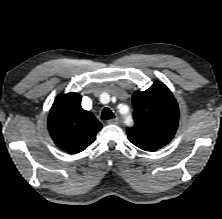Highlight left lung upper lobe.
I'll return each mask as SVG.
<instances>
[{"label":"left lung upper lobe","mask_w":222,"mask_h":219,"mask_svg":"<svg viewBox=\"0 0 222 219\" xmlns=\"http://www.w3.org/2000/svg\"><path fill=\"white\" fill-rule=\"evenodd\" d=\"M133 128H127L129 140L146 151H155L168 144L178 126L179 109L169 89L156 81L149 89L136 91Z\"/></svg>","instance_id":"5c2ea615"}]
</instances>
